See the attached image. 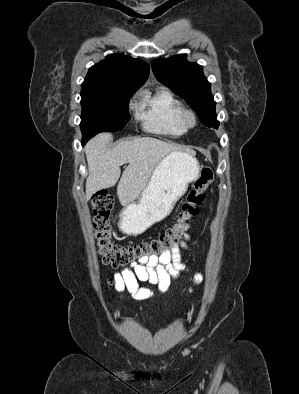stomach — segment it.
Returning a JSON list of instances; mask_svg holds the SVG:
<instances>
[{
	"label": "stomach",
	"mask_w": 299,
	"mask_h": 394,
	"mask_svg": "<svg viewBox=\"0 0 299 394\" xmlns=\"http://www.w3.org/2000/svg\"><path fill=\"white\" fill-rule=\"evenodd\" d=\"M199 169L198 160L191 153L178 150L166 155L138 201L122 210L120 230L127 235H138L167 217L187 191L188 184L198 177Z\"/></svg>",
	"instance_id": "obj_1"
}]
</instances>
